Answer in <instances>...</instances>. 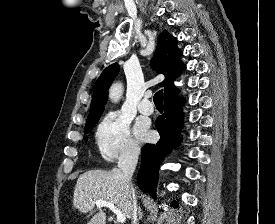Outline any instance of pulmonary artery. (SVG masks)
<instances>
[{
    "instance_id": "obj_1",
    "label": "pulmonary artery",
    "mask_w": 275,
    "mask_h": 224,
    "mask_svg": "<svg viewBox=\"0 0 275 224\" xmlns=\"http://www.w3.org/2000/svg\"><path fill=\"white\" fill-rule=\"evenodd\" d=\"M138 110L144 115H151L154 112V106L149 100V96L145 95L138 105Z\"/></svg>"
}]
</instances>
